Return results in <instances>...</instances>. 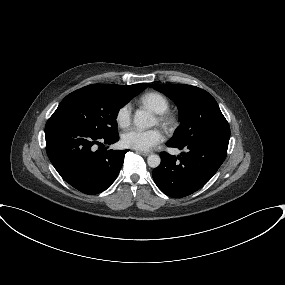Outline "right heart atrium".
<instances>
[{
	"instance_id": "1",
	"label": "right heart atrium",
	"mask_w": 285,
	"mask_h": 285,
	"mask_svg": "<svg viewBox=\"0 0 285 285\" xmlns=\"http://www.w3.org/2000/svg\"><path fill=\"white\" fill-rule=\"evenodd\" d=\"M132 120V107L129 103L122 105L116 113V122L118 126L126 128Z\"/></svg>"
}]
</instances>
